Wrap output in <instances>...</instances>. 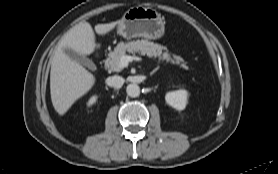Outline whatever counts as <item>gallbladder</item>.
<instances>
[{
  "instance_id": "1",
  "label": "gallbladder",
  "mask_w": 278,
  "mask_h": 174,
  "mask_svg": "<svg viewBox=\"0 0 278 174\" xmlns=\"http://www.w3.org/2000/svg\"><path fill=\"white\" fill-rule=\"evenodd\" d=\"M64 53L67 54L71 59L81 63L82 65L88 67L89 69H94V63L89 58L69 49L64 48Z\"/></svg>"
}]
</instances>
